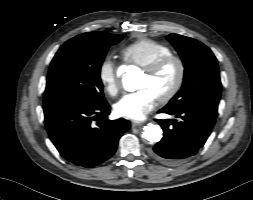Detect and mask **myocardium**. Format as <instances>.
Here are the masks:
<instances>
[{"label": "myocardium", "instance_id": "obj_1", "mask_svg": "<svg viewBox=\"0 0 253 200\" xmlns=\"http://www.w3.org/2000/svg\"><path fill=\"white\" fill-rule=\"evenodd\" d=\"M170 64L176 65L177 73L173 85L165 93H163L157 98L158 101L161 103L167 102L172 99L180 90L185 77V65L183 60L180 57L171 54L162 57L143 68V71L146 74L153 76L161 72L165 67Z\"/></svg>", "mask_w": 253, "mask_h": 200}]
</instances>
